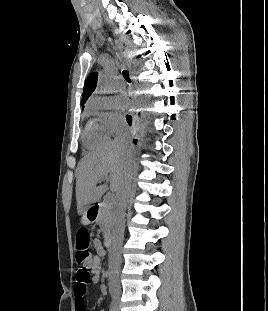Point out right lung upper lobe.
<instances>
[{
  "label": "right lung upper lobe",
  "mask_w": 268,
  "mask_h": 311,
  "mask_svg": "<svg viewBox=\"0 0 268 311\" xmlns=\"http://www.w3.org/2000/svg\"><path fill=\"white\" fill-rule=\"evenodd\" d=\"M96 84H97V73L93 72L87 78L85 85H84L83 95H82V106H84V104L87 101V99L89 98V96L95 90Z\"/></svg>",
  "instance_id": "cb5924a9"
}]
</instances>
